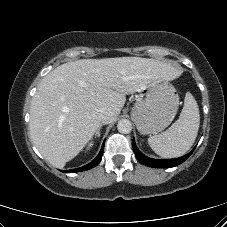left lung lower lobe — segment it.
Here are the masks:
<instances>
[{"label":"left lung lower lobe","instance_id":"0a47b994","mask_svg":"<svg viewBox=\"0 0 227 227\" xmlns=\"http://www.w3.org/2000/svg\"><path fill=\"white\" fill-rule=\"evenodd\" d=\"M194 149L190 153H188L180 158L152 159V158L145 156L144 154H142L139 151V149L137 148V146L135 144V140L133 139V150H134V153H135L136 157L138 158V160L142 164L149 166V167H154V168H171V167L177 166V165L183 163L192 154Z\"/></svg>","mask_w":227,"mask_h":227}]
</instances>
